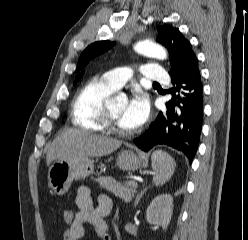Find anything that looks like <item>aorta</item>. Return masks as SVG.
<instances>
[{
  "instance_id": "obj_1",
  "label": "aorta",
  "mask_w": 248,
  "mask_h": 240,
  "mask_svg": "<svg viewBox=\"0 0 248 240\" xmlns=\"http://www.w3.org/2000/svg\"><path fill=\"white\" fill-rule=\"evenodd\" d=\"M134 49L138 53L147 57H153L162 60L167 58L166 50L162 46L152 42L151 40L138 42L135 45Z\"/></svg>"
}]
</instances>
